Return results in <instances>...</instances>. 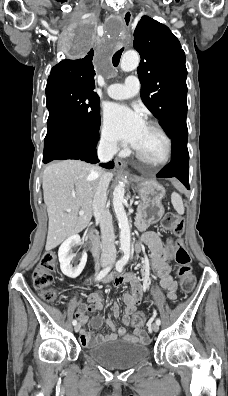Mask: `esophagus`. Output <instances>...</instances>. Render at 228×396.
<instances>
[{"mask_svg": "<svg viewBox=\"0 0 228 396\" xmlns=\"http://www.w3.org/2000/svg\"><path fill=\"white\" fill-rule=\"evenodd\" d=\"M122 18H123L125 28L128 29L131 24V21H132V12L130 10H125L122 13ZM115 164H116V167H118V168H124L126 166L124 161H122L121 159H116Z\"/></svg>", "mask_w": 228, "mask_h": 396, "instance_id": "esophagus-1", "label": "esophagus"}]
</instances>
